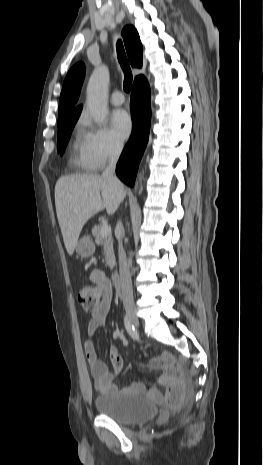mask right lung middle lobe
Here are the masks:
<instances>
[{
    "instance_id": "dd1d6c3e",
    "label": "right lung middle lobe",
    "mask_w": 263,
    "mask_h": 465,
    "mask_svg": "<svg viewBox=\"0 0 263 465\" xmlns=\"http://www.w3.org/2000/svg\"><path fill=\"white\" fill-rule=\"evenodd\" d=\"M80 112L58 122V141H57V150L61 154L63 153L69 138L70 134L76 124Z\"/></svg>"
}]
</instances>
